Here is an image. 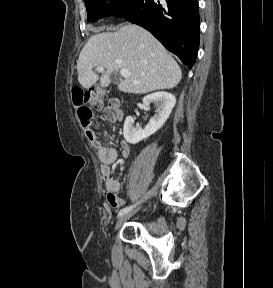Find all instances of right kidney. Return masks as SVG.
<instances>
[{
    "instance_id": "obj_1",
    "label": "right kidney",
    "mask_w": 273,
    "mask_h": 288,
    "mask_svg": "<svg viewBox=\"0 0 273 288\" xmlns=\"http://www.w3.org/2000/svg\"><path fill=\"white\" fill-rule=\"evenodd\" d=\"M151 103H154L158 107L157 113L150 119L148 125L144 129H141L139 125L134 126L133 117H126L123 135L128 143L136 144L157 132L169 118L172 109L175 106L176 99L171 93L161 91L152 93L143 98V104L146 107H149Z\"/></svg>"
}]
</instances>
